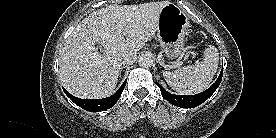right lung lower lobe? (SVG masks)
Instances as JSON below:
<instances>
[{"mask_svg":"<svg viewBox=\"0 0 276 138\" xmlns=\"http://www.w3.org/2000/svg\"><path fill=\"white\" fill-rule=\"evenodd\" d=\"M127 80L122 84V86L118 89V91L107 98L104 99H96V100H89V99H80L77 98L70 93H68L64 88L65 94L79 107L90 111V112H98V111H105L115 105V103L119 100L122 91L125 88Z\"/></svg>","mask_w":276,"mask_h":138,"instance_id":"1","label":"right lung lower lobe"}]
</instances>
